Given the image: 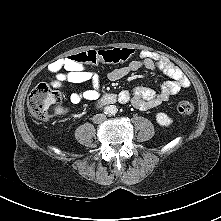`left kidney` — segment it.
<instances>
[{"instance_id": "1", "label": "left kidney", "mask_w": 221, "mask_h": 221, "mask_svg": "<svg viewBox=\"0 0 221 221\" xmlns=\"http://www.w3.org/2000/svg\"><path fill=\"white\" fill-rule=\"evenodd\" d=\"M156 121L160 126H169L172 124V119L165 113H157Z\"/></svg>"}]
</instances>
